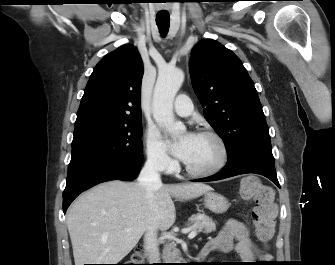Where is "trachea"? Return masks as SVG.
Masks as SVG:
<instances>
[{
	"label": "trachea",
	"instance_id": "3493384b",
	"mask_svg": "<svg viewBox=\"0 0 335 265\" xmlns=\"http://www.w3.org/2000/svg\"><path fill=\"white\" fill-rule=\"evenodd\" d=\"M156 23L162 36H165L169 29L170 15L168 13L157 14Z\"/></svg>",
	"mask_w": 335,
	"mask_h": 265
}]
</instances>
